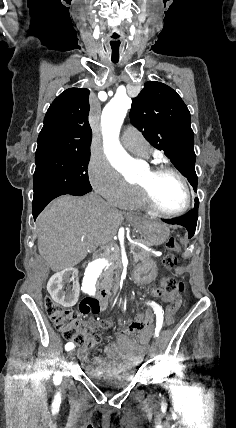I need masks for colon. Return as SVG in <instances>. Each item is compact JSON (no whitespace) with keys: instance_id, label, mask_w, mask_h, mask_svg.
I'll return each mask as SVG.
<instances>
[{"instance_id":"obj_1","label":"colon","mask_w":236,"mask_h":428,"mask_svg":"<svg viewBox=\"0 0 236 428\" xmlns=\"http://www.w3.org/2000/svg\"><path fill=\"white\" fill-rule=\"evenodd\" d=\"M166 245L168 252L163 257L162 263L168 270H172L178 264V259L172 251L179 250V243L175 238H170ZM162 285L166 292L176 297L184 291V283L173 277L164 278ZM44 303L50 320L66 340L75 343L80 348L92 347L95 344V336L86 331V326L76 311L58 305L50 296L45 297ZM177 305V302H173L169 306L166 316L167 323L173 322ZM100 310L99 302L88 297L83 299L79 305V311L83 315L97 314ZM132 324L141 327L144 324L141 315H137Z\"/></svg>"}]
</instances>
